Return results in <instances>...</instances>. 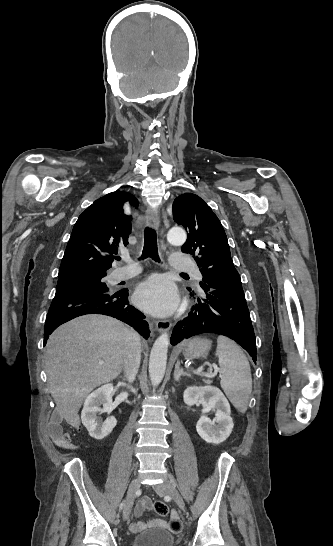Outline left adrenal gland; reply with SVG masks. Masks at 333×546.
<instances>
[{"mask_svg":"<svg viewBox=\"0 0 333 546\" xmlns=\"http://www.w3.org/2000/svg\"><path fill=\"white\" fill-rule=\"evenodd\" d=\"M181 376L190 377V374L184 372L183 369L180 368V362H177L175 365V370H174V379L176 381H179Z\"/></svg>","mask_w":333,"mask_h":546,"instance_id":"a2214340","label":"left adrenal gland"}]
</instances>
